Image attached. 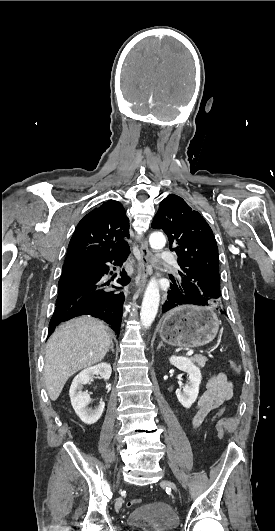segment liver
I'll return each instance as SVG.
<instances>
[{"mask_svg": "<svg viewBox=\"0 0 275 531\" xmlns=\"http://www.w3.org/2000/svg\"><path fill=\"white\" fill-rule=\"evenodd\" d=\"M110 335L102 321L79 317L59 325L47 341L44 381L51 401L77 371L96 365L110 349Z\"/></svg>", "mask_w": 275, "mask_h": 531, "instance_id": "6515ba94", "label": "liver"}]
</instances>
